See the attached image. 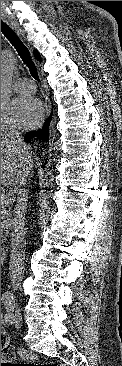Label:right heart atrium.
<instances>
[{
	"label": "right heart atrium",
	"mask_w": 122,
	"mask_h": 366,
	"mask_svg": "<svg viewBox=\"0 0 122 366\" xmlns=\"http://www.w3.org/2000/svg\"><path fill=\"white\" fill-rule=\"evenodd\" d=\"M14 128L15 125L12 123L11 119L9 118L8 120L5 116L1 115V133Z\"/></svg>",
	"instance_id": "d8ad5b80"
}]
</instances>
